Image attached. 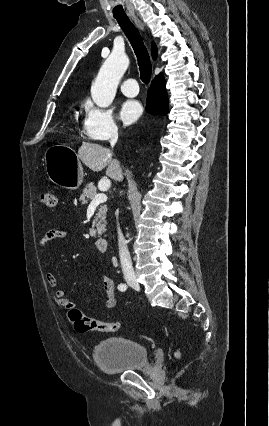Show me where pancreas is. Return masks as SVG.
Here are the masks:
<instances>
[{
    "mask_svg": "<svg viewBox=\"0 0 269 426\" xmlns=\"http://www.w3.org/2000/svg\"><path fill=\"white\" fill-rule=\"evenodd\" d=\"M96 194H97L96 193V187H95L94 183H89L85 186L83 193L80 196V200L82 201L83 204H87L89 201H92L94 199ZM106 212H107L106 205H101L98 208V212H97L96 216L94 217V220L92 222V227L90 229V235L92 237H95L96 233L98 235H101V233L106 230L105 229Z\"/></svg>",
    "mask_w": 269,
    "mask_h": 426,
    "instance_id": "pancreas-1",
    "label": "pancreas"
}]
</instances>
